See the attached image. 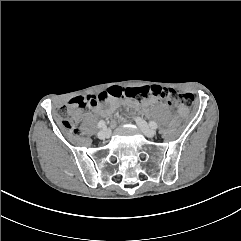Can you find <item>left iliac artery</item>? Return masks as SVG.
<instances>
[{
    "mask_svg": "<svg viewBox=\"0 0 241 241\" xmlns=\"http://www.w3.org/2000/svg\"><path fill=\"white\" fill-rule=\"evenodd\" d=\"M149 125H150V127H152L153 129H156V128L158 127L157 123L154 122V121H150V122H149Z\"/></svg>",
    "mask_w": 241,
    "mask_h": 241,
    "instance_id": "44dca946",
    "label": "left iliac artery"
}]
</instances>
